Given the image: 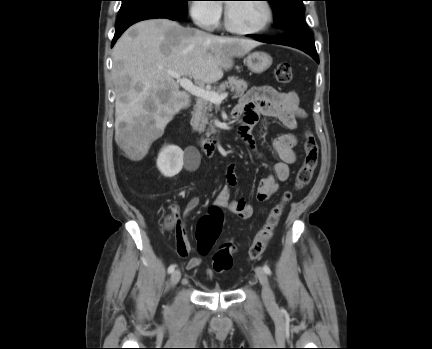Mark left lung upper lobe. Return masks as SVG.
<instances>
[{"instance_id":"obj_1","label":"left lung upper lobe","mask_w":432,"mask_h":349,"mask_svg":"<svg viewBox=\"0 0 432 349\" xmlns=\"http://www.w3.org/2000/svg\"><path fill=\"white\" fill-rule=\"evenodd\" d=\"M275 16L274 24L283 32L310 34L304 21L303 0H267Z\"/></svg>"}]
</instances>
